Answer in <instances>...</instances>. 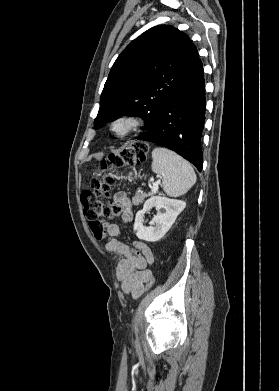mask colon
Wrapping results in <instances>:
<instances>
[{
	"mask_svg": "<svg viewBox=\"0 0 279 391\" xmlns=\"http://www.w3.org/2000/svg\"><path fill=\"white\" fill-rule=\"evenodd\" d=\"M148 145L142 142H133L113 154L108 161L103 162L105 167H129L143 163L147 158ZM113 178L93 177L90 180V190L83 192L81 201L84 213L89 221V227L95 238L104 237L103 222L106 219L117 217L122 212V207L111 201L110 192ZM153 275L145 283V291L152 288Z\"/></svg>",
	"mask_w": 279,
	"mask_h": 391,
	"instance_id": "colon-1",
	"label": "colon"
}]
</instances>
